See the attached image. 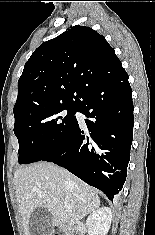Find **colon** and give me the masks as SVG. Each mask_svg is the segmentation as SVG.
Masks as SVG:
<instances>
[{
  "label": "colon",
  "mask_w": 155,
  "mask_h": 235,
  "mask_svg": "<svg viewBox=\"0 0 155 235\" xmlns=\"http://www.w3.org/2000/svg\"><path fill=\"white\" fill-rule=\"evenodd\" d=\"M51 235H61V234H60V233L55 232V233H53V234H51Z\"/></svg>",
  "instance_id": "5ec220e1"
}]
</instances>
